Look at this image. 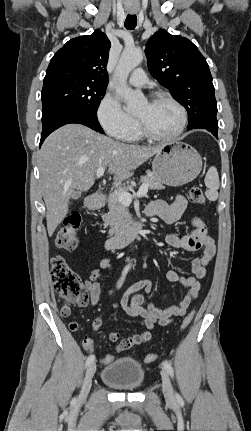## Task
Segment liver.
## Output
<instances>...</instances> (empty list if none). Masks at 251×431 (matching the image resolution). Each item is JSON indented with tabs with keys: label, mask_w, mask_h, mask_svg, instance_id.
<instances>
[{
	"label": "liver",
	"mask_w": 251,
	"mask_h": 431,
	"mask_svg": "<svg viewBox=\"0 0 251 431\" xmlns=\"http://www.w3.org/2000/svg\"><path fill=\"white\" fill-rule=\"evenodd\" d=\"M163 147L121 143L80 124H67L54 131L38 153L49 236L67 215L75 190L88 191L100 167H108L114 180L121 182Z\"/></svg>",
	"instance_id": "liver-1"
}]
</instances>
